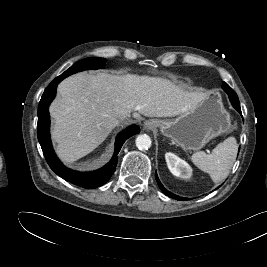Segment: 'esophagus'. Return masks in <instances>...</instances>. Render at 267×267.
Instances as JSON below:
<instances>
[{
	"mask_svg": "<svg viewBox=\"0 0 267 267\" xmlns=\"http://www.w3.org/2000/svg\"><path fill=\"white\" fill-rule=\"evenodd\" d=\"M154 127H155V122L152 121V120L147 121V122L145 123V128H146V129H152V128H154Z\"/></svg>",
	"mask_w": 267,
	"mask_h": 267,
	"instance_id": "esophagus-1",
	"label": "esophagus"
}]
</instances>
